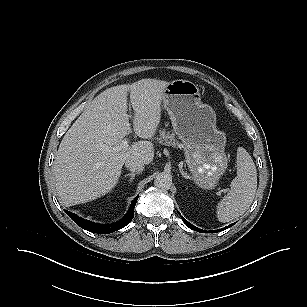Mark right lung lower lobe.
I'll list each match as a JSON object with an SVG mask.
<instances>
[{"instance_id":"obj_1","label":"right lung lower lobe","mask_w":307,"mask_h":307,"mask_svg":"<svg viewBox=\"0 0 307 307\" xmlns=\"http://www.w3.org/2000/svg\"><path fill=\"white\" fill-rule=\"evenodd\" d=\"M137 199H138V196L132 201L129 210H128L127 214L124 216L123 219H121L120 221H118L116 223L107 224V225L94 223V222L85 220L83 218H80L74 213H71V212L66 211V210H64V211L81 228H83L87 231L93 232V233L108 234V233H112L114 231H117V230L125 227L126 225H128L130 223V221L134 217V208H135V204L137 202Z\"/></svg>"}]
</instances>
